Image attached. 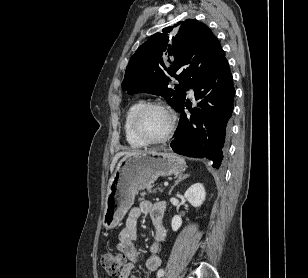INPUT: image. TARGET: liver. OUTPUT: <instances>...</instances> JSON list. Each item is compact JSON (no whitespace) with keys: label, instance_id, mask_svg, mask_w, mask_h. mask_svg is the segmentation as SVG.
<instances>
[{"label":"liver","instance_id":"obj_1","mask_svg":"<svg viewBox=\"0 0 308 278\" xmlns=\"http://www.w3.org/2000/svg\"><path fill=\"white\" fill-rule=\"evenodd\" d=\"M137 153H140V151H127V152H119L117 153L113 160H112V163L110 165V171L113 172L114 170V167H115V164L117 163L118 159L123 156V155H131V154H137Z\"/></svg>","mask_w":308,"mask_h":278}]
</instances>
